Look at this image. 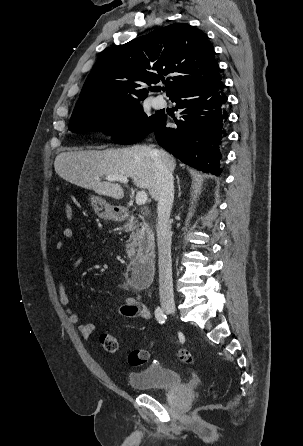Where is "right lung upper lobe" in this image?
<instances>
[{"label": "right lung upper lobe", "instance_id": "cb5924a9", "mask_svg": "<svg viewBox=\"0 0 303 446\" xmlns=\"http://www.w3.org/2000/svg\"><path fill=\"white\" fill-rule=\"evenodd\" d=\"M214 55L207 35L184 23L106 48L88 75L72 116L102 106L140 101L148 95L144 83H159L172 73L174 76L166 80V93L171 99L220 76Z\"/></svg>", "mask_w": 303, "mask_h": 446}]
</instances>
